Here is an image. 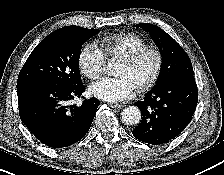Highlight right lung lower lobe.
Listing matches in <instances>:
<instances>
[{
    "label": "right lung lower lobe",
    "instance_id": "obj_1",
    "mask_svg": "<svg viewBox=\"0 0 224 175\" xmlns=\"http://www.w3.org/2000/svg\"><path fill=\"white\" fill-rule=\"evenodd\" d=\"M82 84L70 87L40 80L17 82L19 115L43 144L62 148L82 139L89 131L100 102L96 98L70 105L84 92Z\"/></svg>",
    "mask_w": 224,
    "mask_h": 175
}]
</instances>
